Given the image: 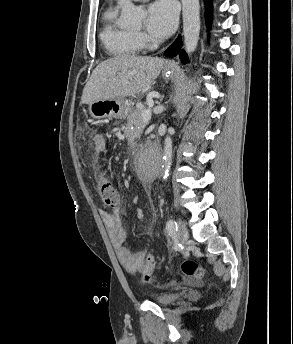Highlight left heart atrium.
<instances>
[{
	"label": "left heart atrium",
	"instance_id": "left-heart-atrium-1",
	"mask_svg": "<svg viewBox=\"0 0 293 344\" xmlns=\"http://www.w3.org/2000/svg\"><path fill=\"white\" fill-rule=\"evenodd\" d=\"M177 10L171 0H159L147 10L146 30L156 38H167L177 25Z\"/></svg>",
	"mask_w": 293,
	"mask_h": 344
}]
</instances>
